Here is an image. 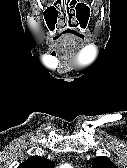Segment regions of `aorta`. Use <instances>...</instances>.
<instances>
[{"label":"aorta","instance_id":"aorta-1","mask_svg":"<svg viewBox=\"0 0 127 168\" xmlns=\"http://www.w3.org/2000/svg\"><path fill=\"white\" fill-rule=\"evenodd\" d=\"M60 168H71V167L68 166V165H63V166H61Z\"/></svg>","mask_w":127,"mask_h":168}]
</instances>
